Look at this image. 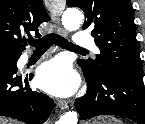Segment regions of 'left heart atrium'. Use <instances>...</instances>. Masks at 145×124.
Masks as SVG:
<instances>
[{"instance_id":"39dd6f15","label":"left heart atrium","mask_w":145,"mask_h":124,"mask_svg":"<svg viewBox=\"0 0 145 124\" xmlns=\"http://www.w3.org/2000/svg\"><path fill=\"white\" fill-rule=\"evenodd\" d=\"M36 81L39 87L56 96L71 95L79 84L78 76L63 58H55L41 65Z\"/></svg>"}]
</instances>
